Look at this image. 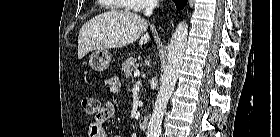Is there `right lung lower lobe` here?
I'll use <instances>...</instances> for the list:
<instances>
[{
  "label": "right lung lower lobe",
  "instance_id": "obj_1",
  "mask_svg": "<svg viewBox=\"0 0 280 137\" xmlns=\"http://www.w3.org/2000/svg\"><path fill=\"white\" fill-rule=\"evenodd\" d=\"M177 6L178 9H182L188 0H173Z\"/></svg>",
  "mask_w": 280,
  "mask_h": 137
}]
</instances>
